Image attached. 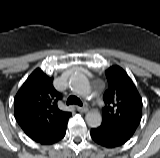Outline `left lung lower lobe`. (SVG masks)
I'll use <instances>...</instances> for the list:
<instances>
[{
  "instance_id": "1",
  "label": "left lung lower lobe",
  "mask_w": 160,
  "mask_h": 158,
  "mask_svg": "<svg viewBox=\"0 0 160 158\" xmlns=\"http://www.w3.org/2000/svg\"><path fill=\"white\" fill-rule=\"evenodd\" d=\"M92 139L99 145L104 147H117L127 142L131 136L109 128L105 124L91 130Z\"/></svg>"
}]
</instances>
